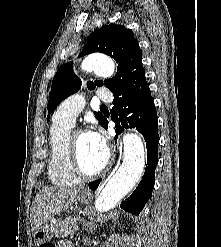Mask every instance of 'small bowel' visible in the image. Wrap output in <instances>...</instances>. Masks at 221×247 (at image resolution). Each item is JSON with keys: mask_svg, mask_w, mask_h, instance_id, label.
Returning <instances> with one entry per match:
<instances>
[{"mask_svg": "<svg viewBox=\"0 0 221 247\" xmlns=\"http://www.w3.org/2000/svg\"><path fill=\"white\" fill-rule=\"evenodd\" d=\"M56 247H70L67 243L58 244Z\"/></svg>", "mask_w": 221, "mask_h": 247, "instance_id": "small-bowel-1", "label": "small bowel"}]
</instances>
